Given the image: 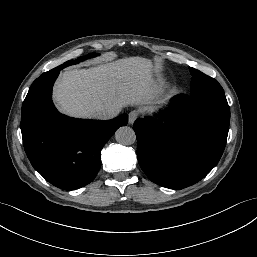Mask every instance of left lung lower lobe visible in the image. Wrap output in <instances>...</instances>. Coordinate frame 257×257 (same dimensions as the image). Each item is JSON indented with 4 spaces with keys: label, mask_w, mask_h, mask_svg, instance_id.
Wrapping results in <instances>:
<instances>
[{
    "label": "left lung lower lobe",
    "mask_w": 257,
    "mask_h": 257,
    "mask_svg": "<svg viewBox=\"0 0 257 257\" xmlns=\"http://www.w3.org/2000/svg\"><path fill=\"white\" fill-rule=\"evenodd\" d=\"M160 118H138L140 167L154 183L183 189L205 177L224 151L230 122L225 95H178Z\"/></svg>",
    "instance_id": "0a47b994"
}]
</instances>
